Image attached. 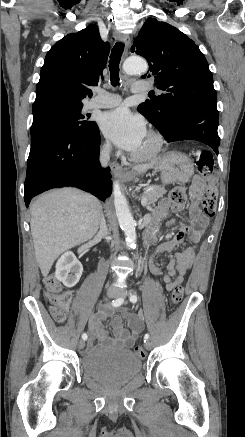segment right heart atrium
Masks as SVG:
<instances>
[{"mask_svg": "<svg viewBox=\"0 0 245 437\" xmlns=\"http://www.w3.org/2000/svg\"><path fill=\"white\" fill-rule=\"evenodd\" d=\"M111 144L108 141H103L99 145V156L100 159L104 162L108 161L111 156Z\"/></svg>", "mask_w": 245, "mask_h": 437, "instance_id": "right-heart-atrium-1", "label": "right heart atrium"}]
</instances>
